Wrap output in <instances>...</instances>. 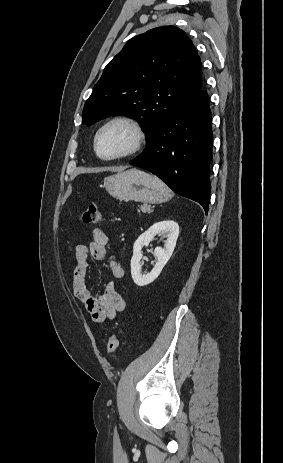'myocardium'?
Masks as SVG:
<instances>
[{"label": "myocardium", "mask_w": 283, "mask_h": 463, "mask_svg": "<svg viewBox=\"0 0 283 463\" xmlns=\"http://www.w3.org/2000/svg\"><path fill=\"white\" fill-rule=\"evenodd\" d=\"M117 124L125 125L132 131V134H133L132 143L126 151L113 155V156L104 157L98 151L99 137L106 129H108L109 127L113 125H117ZM145 141H146V135L143 130V127L136 119L132 117H128V116H117L105 122L96 131L95 136H94V141H93V147H94L95 154L97 155L99 159L104 160V161H115V160L125 159V158L135 155L143 148Z\"/></svg>", "instance_id": "myocardium-1"}]
</instances>
